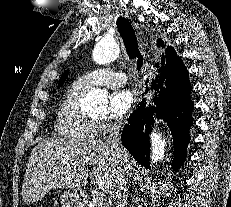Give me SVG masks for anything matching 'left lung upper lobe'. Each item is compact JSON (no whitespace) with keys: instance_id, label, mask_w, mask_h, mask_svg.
I'll list each match as a JSON object with an SVG mask.
<instances>
[{"instance_id":"1","label":"left lung upper lobe","mask_w":231,"mask_h":207,"mask_svg":"<svg viewBox=\"0 0 231 207\" xmlns=\"http://www.w3.org/2000/svg\"><path fill=\"white\" fill-rule=\"evenodd\" d=\"M67 74H68V70H67V71H65V72H64V74L61 76V78H60V82H59V84H58V88H60V87H61V85L63 84V82L66 80V78H67Z\"/></svg>"}]
</instances>
